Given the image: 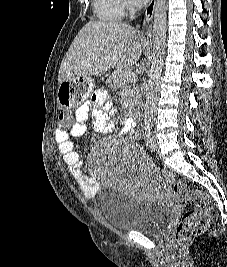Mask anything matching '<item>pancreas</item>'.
Here are the masks:
<instances>
[{
	"label": "pancreas",
	"mask_w": 227,
	"mask_h": 267,
	"mask_svg": "<svg viewBox=\"0 0 227 267\" xmlns=\"http://www.w3.org/2000/svg\"><path fill=\"white\" fill-rule=\"evenodd\" d=\"M133 73H131L129 70H117L113 72L108 79V82L117 88H125L129 87V99L131 102H136V95L137 90L135 88H131V84L134 82L131 79V76Z\"/></svg>",
	"instance_id": "pancreas-1"
}]
</instances>
